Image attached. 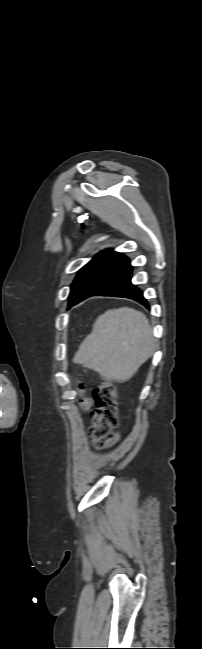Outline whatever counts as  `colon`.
Wrapping results in <instances>:
<instances>
[{"label":"colon","instance_id":"5ec220e1","mask_svg":"<svg viewBox=\"0 0 202 649\" xmlns=\"http://www.w3.org/2000/svg\"><path fill=\"white\" fill-rule=\"evenodd\" d=\"M79 405L82 410H89L92 405V425L90 436L97 448H108L114 445L119 436L113 429L118 424L117 390L111 381H103L94 390L93 397L84 396L82 387H78Z\"/></svg>","mask_w":202,"mask_h":649}]
</instances>
